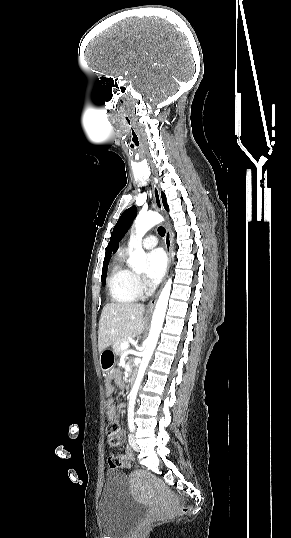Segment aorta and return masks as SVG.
I'll use <instances>...</instances> for the list:
<instances>
[{"label":"aorta","instance_id":"1","mask_svg":"<svg viewBox=\"0 0 291 538\" xmlns=\"http://www.w3.org/2000/svg\"><path fill=\"white\" fill-rule=\"evenodd\" d=\"M163 221V217L156 212L140 213L135 220V237H131V242L135 245L134 252L130 255L128 263L135 270H144L146 264V254L142 248L141 240L145 233L156 224ZM172 281L169 279L165 284L160 296L157 300L155 311L153 313L150 332L144 344L142 360L138 369V373L134 385L129 394L128 413L134 412L137 393L143 380L145 371L152 357L153 351L158 342V338L162 329L165 312L168 305V300L171 291Z\"/></svg>","mask_w":291,"mask_h":538}]
</instances>
